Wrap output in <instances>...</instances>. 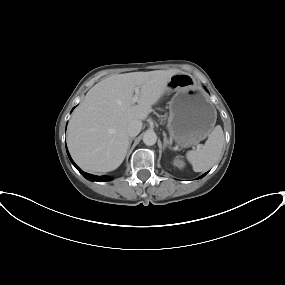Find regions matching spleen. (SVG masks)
I'll return each instance as SVG.
<instances>
[{"instance_id":"obj_1","label":"spleen","mask_w":285,"mask_h":285,"mask_svg":"<svg viewBox=\"0 0 285 285\" xmlns=\"http://www.w3.org/2000/svg\"><path fill=\"white\" fill-rule=\"evenodd\" d=\"M224 144V133L220 125L216 126L209 134L204 145L186 153L187 160L195 172L210 169L220 158Z\"/></svg>"}]
</instances>
